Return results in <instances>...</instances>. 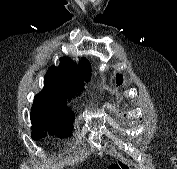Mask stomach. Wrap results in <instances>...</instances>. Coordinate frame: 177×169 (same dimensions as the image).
I'll list each match as a JSON object with an SVG mask.
<instances>
[{
	"label": "stomach",
	"mask_w": 177,
	"mask_h": 169,
	"mask_svg": "<svg viewBox=\"0 0 177 169\" xmlns=\"http://www.w3.org/2000/svg\"><path fill=\"white\" fill-rule=\"evenodd\" d=\"M110 169H130V166L124 162H116L110 166Z\"/></svg>",
	"instance_id": "1"
}]
</instances>
